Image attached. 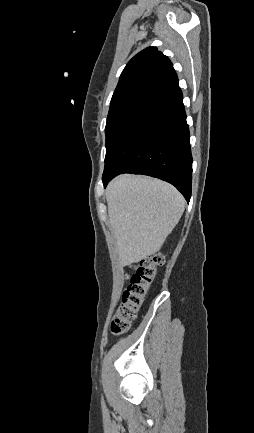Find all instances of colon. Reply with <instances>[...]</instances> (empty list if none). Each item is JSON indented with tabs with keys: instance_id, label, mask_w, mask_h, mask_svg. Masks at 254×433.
Here are the masks:
<instances>
[{
	"instance_id": "5ec220e1",
	"label": "colon",
	"mask_w": 254,
	"mask_h": 433,
	"mask_svg": "<svg viewBox=\"0 0 254 433\" xmlns=\"http://www.w3.org/2000/svg\"><path fill=\"white\" fill-rule=\"evenodd\" d=\"M163 261V256L159 254L146 258L130 275L129 285L123 292L121 302L111 322L110 330L113 335H121L129 330L157 274V267Z\"/></svg>"
}]
</instances>
